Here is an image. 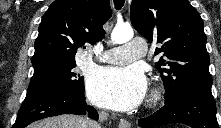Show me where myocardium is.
<instances>
[{
	"instance_id": "1",
	"label": "myocardium",
	"mask_w": 221,
	"mask_h": 128,
	"mask_svg": "<svg viewBox=\"0 0 221 128\" xmlns=\"http://www.w3.org/2000/svg\"><path fill=\"white\" fill-rule=\"evenodd\" d=\"M159 99V94L157 92H153L149 98V105L155 104Z\"/></svg>"
}]
</instances>
